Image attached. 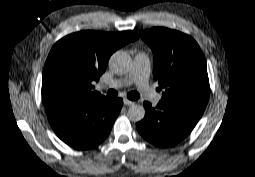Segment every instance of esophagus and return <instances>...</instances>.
<instances>
[{"mask_svg":"<svg viewBox=\"0 0 255 177\" xmlns=\"http://www.w3.org/2000/svg\"><path fill=\"white\" fill-rule=\"evenodd\" d=\"M124 102H125V104H127V105L130 104V103H133V101H131V100H129V99H125Z\"/></svg>","mask_w":255,"mask_h":177,"instance_id":"esophagus-1","label":"esophagus"}]
</instances>
